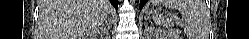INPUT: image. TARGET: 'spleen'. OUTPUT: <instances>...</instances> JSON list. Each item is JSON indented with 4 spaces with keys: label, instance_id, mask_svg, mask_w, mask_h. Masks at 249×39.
<instances>
[{
    "label": "spleen",
    "instance_id": "1",
    "mask_svg": "<svg viewBox=\"0 0 249 39\" xmlns=\"http://www.w3.org/2000/svg\"><path fill=\"white\" fill-rule=\"evenodd\" d=\"M153 5L164 3L166 6L180 11L184 20V29L189 39H206L209 33L210 17L202 0H152ZM158 24L174 26L179 24L174 17L164 18L162 15L153 16Z\"/></svg>",
    "mask_w": 249,
    "mask_h": 39
}]
</instances>
